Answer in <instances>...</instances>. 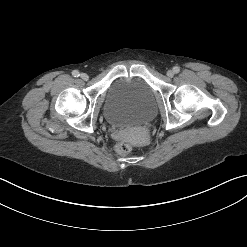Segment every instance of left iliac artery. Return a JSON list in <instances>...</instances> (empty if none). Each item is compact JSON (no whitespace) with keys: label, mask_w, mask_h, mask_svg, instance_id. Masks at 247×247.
I'll list each match as a JSON object with an SVG mask.
<instances>
[{"label":"left iliac artery","mask_w":247,"mask_h":247,"mask_svg":"<svg viewBox=\"0 0 247 247\" xmlns=\"http://www.w3.org/2000/svg\"><path fill=\"white\" fill-rule=\"evenodd\" d=\"M173 71H174L175 73H179L180 68H179V67H177V66H175V67L173 68Z\"/></svg>","instance_id":"1"}]
</instances>
